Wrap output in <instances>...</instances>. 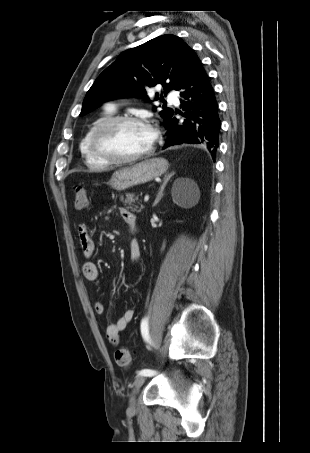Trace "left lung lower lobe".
Returning <instances> with one entry per match:
<instances>
[{"instance_id":"left-lung-lower-lobe-1","label":"left lung lower lobe","mask_w":310,"mask_h":453,"mask_svg":"<svg viewBox=\"0 0 310 453\" xmlns=\"http://www.w3.org/2000/svg\"><path fill=\"white\" fill-rule=\"evenodd\" d=\"M176 90L180 92L181 108L185 111L181 114L186 119L179 122L171 114L163 149L182 143L204 144L215 158L221 128L218 105L207 73L194 52Z\"/></svg>"}]
</instances>
